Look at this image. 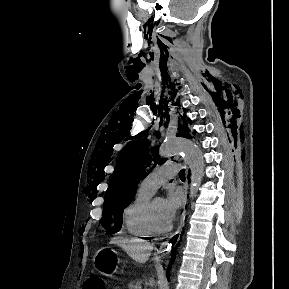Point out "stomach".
Masks as SVG:
<instances>
[{
  "label": "stomach",
  "mask_w": 289,
  "mask_h": 289,
  "mask_svg": "<svg viewBox=\"0 0 289 289\" xmlns=\"http://www.w3.org/2000/svg\"><path fill=\"white\" fill-rule=\"evenodd\" d=\"M118 253L109 247L101 248L94 257L97 271L106 276H112L118 271Z\"/></svg>",
  "instance_id": "1"
}]
</instances>
